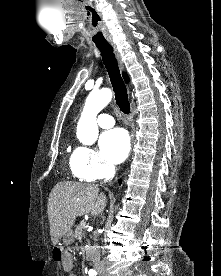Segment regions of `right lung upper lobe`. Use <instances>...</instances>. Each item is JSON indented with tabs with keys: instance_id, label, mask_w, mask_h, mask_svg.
I'll return each mask as SVG.
<instances>
[{
	"instance_id": "cb5924a9",
	"label": "right lung upper lobe",
	"mask_w": 221,
	"mask_h": 276,
	"mask_svg": "<svg viewBox=\"0 0 221 276\" xmlns=\"http://www.w3.org/2000/svg\"><path fill=\"white\" fill-rule=\"evenodd\" d=\"M123 77H124L126 83H128V81H129L128 76L125 73H123Z\"/></svg>"
}]
</instances>
